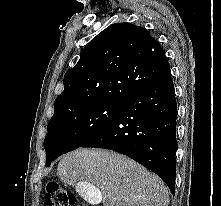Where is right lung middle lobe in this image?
<instances>
[{
    "mask_svg": "<svg viewBox=\"0 0 221 206\" xmlns=\"http://www.w3.org/2000/svg\"><path fill=\"white\" fill-rule=\"evenodd\" d=\"M120 109L121 105L93 103L54 114L44 140L47 166L94 137L118 115Z\"/></svg>",
    "mask_w": 221,
    "mask_h": 206,
    "instance_id": "dd1d6c3e",
    "label": "right lung middle lobe"
}]
</instances>
